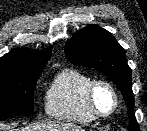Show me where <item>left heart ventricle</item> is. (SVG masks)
I'll return each mask as SVG.
<instances>
[{
    "mask_svg": "<svg viewBox=\"0 0 147 131\" xmlns=\"http://www.w3.org/2000/svg\"><path fill=\"white\" fill-rule=\"evenodd\" d=\"M95 104L100 112H109L114 106L112 92L105 86H99L95 92Z\"/></svg>",
    "mask_w": 147,
    "mask_h": 131,
    "instance_id": "b2bd125f",
    "label": "left heart ventricle"
}]
</instances>
